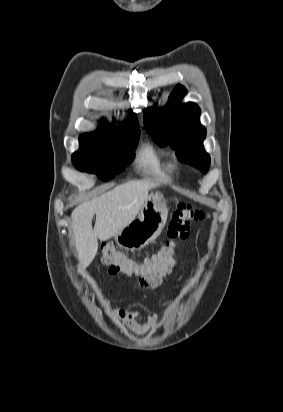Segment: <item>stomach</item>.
Returning a JSON list of instances; mask_svg holds the SVG:
<instances>
[{"label": "stomach", "mask_w": 283, "mask_h": 412, "mask_svg": "<svg viewBox=\"0 0 283 412\" xmlns=\"http://www.w3.org/2000/svg\"><path fill=\"white\" fill-rule=\"evenodd\" d=\"M168 217V207L161 193H151L146 199L138 219L132 221L115 235L120 248L136 250L154 241L163 230Z\"/></svg>", "instance_id": "stomach-1"}]
</instances>
